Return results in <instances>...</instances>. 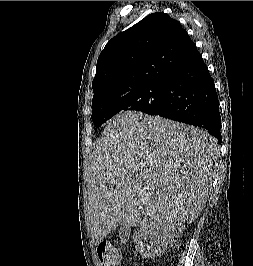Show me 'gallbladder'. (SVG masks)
<instances>
[{"label": "gallbladder", "mask_w": 253, "mask_h": 266, "mask_svg": "<svg viewBox=\"0 0 253 266\" xmlns=\"http://www.w3.org/2000/svg\"><path fill=\"white\" fill-rule=\"evenodd\" d=\"M129 228L128 227H125V226H121L120 227V237H123L124 233L125 232H128Z\"/></svg>", "instance_id": "obj_1"}]
</instances>
